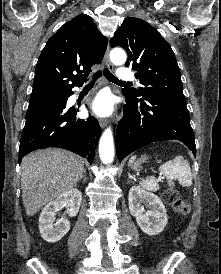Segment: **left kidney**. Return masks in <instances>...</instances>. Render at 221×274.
Here are the masks:
<instances>
[{"instance_id": "obj_1", "label": "left kidney", "mask_w": 221, "mask_h": 274, "mask_svg": "<svg viewBox=\"0 0 221 274\" xmlns=\"http://www.w3.org/2000/svg\"><path fill=\"white\" fill-rule=\"evenodd\" d=\"M128 201L130 213L144 233L153 236L164 230L168 218L165 206L157 195L133 186L129 191ZM141 204L146 205L148 210Z\"/></svg>"}]
</instances>
